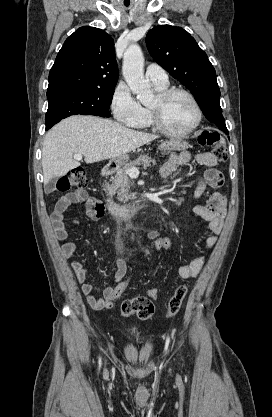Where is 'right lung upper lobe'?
<instances>
[{"mask_svg": "<svg viewBox=\"0 0 272 417\" xmlns=\"http://www.w3.org/2000/svg\"><path fill=\"white\" fill-rule=\"evenodd\" d=\"M114 41L103 30L81 27L69 36L49 73L47 92L61 89H107L116 85Z\"/></svg>", "mask_w": 272, "mask_h": 417, "instance_id": "right-lung-upper-lobe-1", "label": "right lung upper lobe"}]
</instances>
